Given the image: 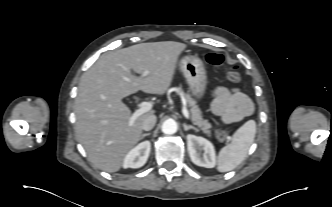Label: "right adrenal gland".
Segmentation results:
<instances>
[{
    "instance_id": "1",
    "label": "right adrenal gland",
    "mask_w": 332,
    "mask_h": 207,
    "mask_svg": "<svg viewBox=\"0 0 332 207\" xmlns=\"http://www.w3.org/2000/svg\"><path fill=\"white\" fill-rule=\"evenodd\" d=\"M149 135H150V133H144L141 135V139H143L145 136H149Z\"/></svg>"
}]
</instances>
